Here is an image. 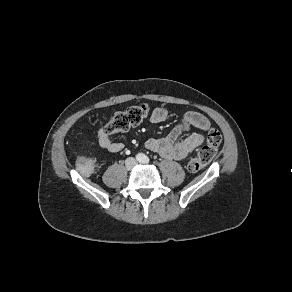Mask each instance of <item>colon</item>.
I'll return each mask as SVG.
<instances>
[{
	"instance_id": "obj_1",
	"label": "colon",
	"mask_w": 292,
	"mask_h": 292,
	"mask_svg": "<svg viewBox=\"0 0 292 292\" xmlns=\"http://www.w3.org/2000/svg\"><path fill=\"white\" fill-rule=\"evenodd\" d=\"M149 115L147 105H134L113 115L106 125L107 133H119L129 130L131 127L142 123ZM220 132L212 128L207 135V143L189 161L188 167L191 171L197 172L206 167L215 157L221 144ZM78 170L85 175L93 172L95 161L92 157L82 155L77 161Z\"/></svg>"
}]
</instances>
